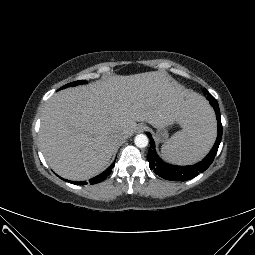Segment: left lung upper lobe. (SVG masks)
<instances>
[{
  "label": "left lung upper lobe",
  "mask_w": 255,
  "mask_h": 255,
  "mask_svg": "<svg viewBox=\"0 0 255 255\" xmlns=\"http://www.w3.org/2000/svg\"><path fill=\"white\" fill-rule=\"evenodd\" d=\"M203 92H204V94H207V93H208V91H207L206 89H203Z\"/></svg>",
  "instance_id": "left-lung-upper-lobe-1"
}]
</instances>
